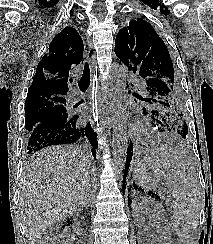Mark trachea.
I'll return each mask as SVG.
<instances>
[{"mask_svg": "<svg viewBox=\"0 0 213 244\" xmlns=\"http://www.w3.org/2000/svg\"><path fill=\"white\" fill-rule=\"evenodd\" d=\"M78 85L81 91H86L90 85V68L86 62L81 79L78 81Z\"/></svg>", "mask_w": 213, "mask_h": 244, "instance_id": "1", "label": "trachea"}]
</instances>
